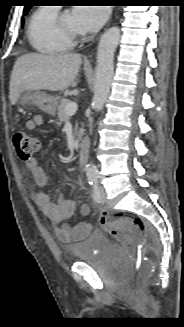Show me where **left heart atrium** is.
<instances>
[{"label": "left heart atrium", "mask_w": 184, "mask_h": 327, "mask_svg": "<svg viewBox=\"0 0 184 327\" xmlns=\"http://www.w3.org/2000/svg\"><path fill=\"white\" fill-rule=\"evenodd\" d=\"M78 31L94 32L105 23L108 17V9L98 5H83L73 11Z\"/></svg>", "instance_id": "1"}]
</instances>
